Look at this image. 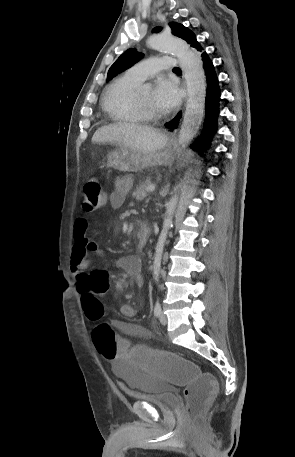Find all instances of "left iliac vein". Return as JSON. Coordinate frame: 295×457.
Listing matches in <instances>:
<instances>
[{
	"mask_svg": "<svg viewBox=\"0 0 295 457\" xmlns=\"http://www.w3.org/2000/svg\"><path fill=\"white\" fill-rule=\"evenodd\" d=\"M159 320H160L161 324H163V325H166V324H167V317H166V315H165L164 313H162V312H161L160 315H159Z\"/></svg>",
	"mask_w": 295,
	"mask_h": 457,
	"instance_id": "left-iliac-vein-1",
	"label": "left iliac vein"
}]
</instances>
